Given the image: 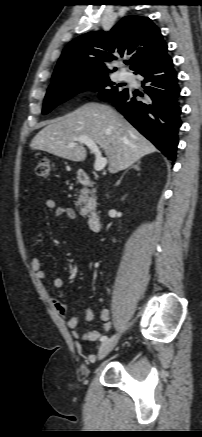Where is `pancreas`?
Here are the masks:
<instances>
[{
    "instance_id": "pancreas-1",
    "label": "pancreas",
    "mask_w": 202,
    "mask_h": 437,
    "mask_svg": "<svg viewBox=\"0 0 202 437\" xmlns=\"http://www.w3.org/2000/svg\"><path fill=\"white\" fill-rule=\"evenodd\" d=\"M92 196H88L87 194H85L84 192H81V194L78 197V201L76 202V206L77 208L80 210V213L82 215H86L88 213L87 210V204L88 202H94L95 201V190H92Z\"/></svg>"
}]
</instances>
